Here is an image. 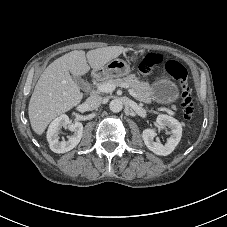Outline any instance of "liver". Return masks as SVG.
<instances>
[{"label":"liver","mask_w":227,"mask_h":227,"mask_svg":"<svg viewBox=\"0 0 227 227\" xmlns=\"http://www.w3.org/2000/svg\"><path fill=\"white\" fill-rule=\"evenodd\" d=\"M123 51V46L97 48L87 54L74 50L49 64L38 79L29 101L28 115L33 131L42 135L53 119L81 102L83 93L72 75H85L90 68L100 70Z\"/></svg>","instance_id":"obj_1"}]
</instances>
